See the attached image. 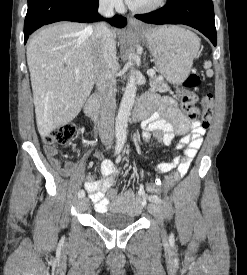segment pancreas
Returning <instances> with one entry per match:
<instances>
[{
  "label": "pancreas",
  "mask_w": 247,
  "mask_h": 275,
  "mask_svg": "<svg viewBox=\"0 0 247 275\" xmlns=\"http://www.w3.org/2000/svg\"><path fill=\"white\" fill-rule=\"evenodd\" d=\"M150 90L155 92L164 93L169 91L168 84L160 77H151L150 78Z\"/></svg>",
  "instance_id": "cf45deb5"
}]
</instances>
